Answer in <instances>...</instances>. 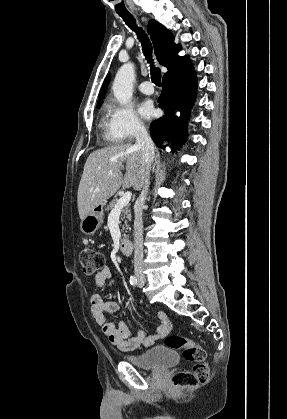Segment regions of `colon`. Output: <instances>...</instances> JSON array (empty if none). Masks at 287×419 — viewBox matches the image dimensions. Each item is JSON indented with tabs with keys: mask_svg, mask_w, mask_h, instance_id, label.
Here are the masks:
<instances>
[{
	"mask_svg": "<svg viewBox=\"0 0 287 419\" xmlns=\"http://www.w3.org/2000/svg\"><path fill=\"white\" fill-rule=\"evenodd\" d=\"M79 260L86 275H92L105 267L103 254L93 248L83 249L80 252ZM165 344L169 348L181 351L184 359L193 364L190 371H179L172 375L173 386L191 388L207 381L209 368L205 361V350L201 345L176 334L167 335Z\"/></svg>",
	"mask_w": 287,
	"mask_h": 419,
	"instance_id": "1",
	"label": "colon"
}]
</instances>
